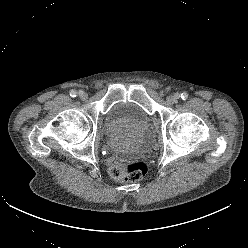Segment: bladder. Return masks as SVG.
Masks as SVG:
<instances>
[{
	"instance_id": "31cf9c89",
	"label": "bladder",
	"mask_w": 248,
	"mask_h": 248,
	"mask_svg": "<svg viewBox=\"0 0 248 248\" xmlns=\"http://www.w3.org/2000/svg\"><path fill=\"white\" fill-rule=\"evenodd\" d=\"M104 131L110 146L116 150H146L151 143L150 118L131 103L119 102L110 108Z\"/></svg>"
}]
</instances>
